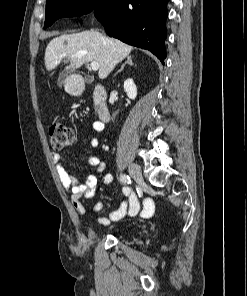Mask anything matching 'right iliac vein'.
I'll return each mask as SVG.
<instances>
[{"mask_svg": "<svg viewBox=\"0 0 247 296\" xmlns=\"http://www.w3.org/2000/svg\"><path fill=\"white\" fill-rule=\"evenodd\" d=\"M128 169L130 175L142 186L144 184V181L140 166L136 163H130Z\"/></svg>", "mask_w": 247, "mask_h": 296, "instance_id": "1", "label": "right iliac vein"}]
</instances>
